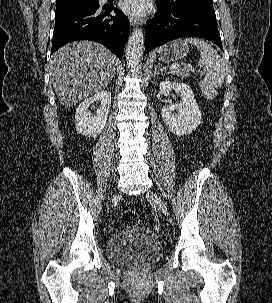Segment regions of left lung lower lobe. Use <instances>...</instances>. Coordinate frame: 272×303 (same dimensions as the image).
Masks as SVG:
<instances>
[{
  "instance_id": "left-lung-lower-lobe-1",
  "label": "left lung lower lobe",
  "mask_w": 272,
  "mask_h": 303,
  "mask_svg": "<svg viewBox=\"0 0 272 303\" xmlns=\"http://www.w3.org/2000/svg\"><path fill=\"white\" fill-rule=\"evenodd\" d=\"M157 6L158 12L146 23V53L171 40L186 36L207 39L223 50L214 9L198 7L166 9L158 4Z\"/></svg>"
}]
</instances>
